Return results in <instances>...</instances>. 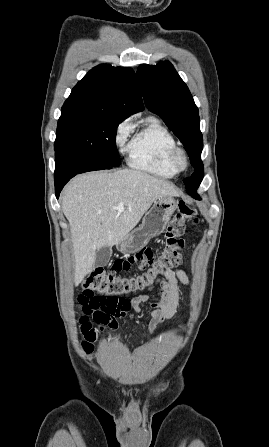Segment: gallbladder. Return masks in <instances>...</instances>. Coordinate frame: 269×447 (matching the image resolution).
Masks as SVG:
<instances>
[{
    "label": "gallbladder",
    "instance_id": "gallbladder-1",
    "mask_svg": "<svg viewBox=\"0 0 269 447\" xmlns=\"http://www.w3.org/2000/svg\"><path fill=\"white\" fill-rule=\"evenodd\" d=\"M112 255L111 247H100L99 251H96L95 265L96 267H103L107 265Z\"/></svg>",
    "mask_w": 269,
    "mask_h": 447
}]
</instances>
